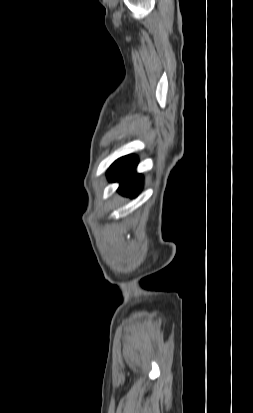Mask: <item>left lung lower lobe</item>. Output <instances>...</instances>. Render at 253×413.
<instances>
[{"instance_id": "obj_1", "label": "left lung lower lobe", "mask_w": 253, "mask_h": 413, "mask_svg": "<svg viewBox=\"0 0 253 413\" xmlns=\"http://www.w3.org/2000/svg\"><path fill=\"white\" fill-rule=\"evenodd\" d=\"M137 157L127 155L117 159L108 169V180L110 182H119V192L135 197L139 194L143 185V178L135 172L137 166Z\"/></svg>"}]
</instances>
